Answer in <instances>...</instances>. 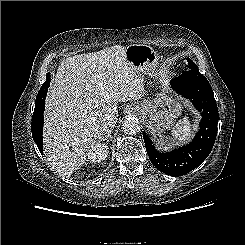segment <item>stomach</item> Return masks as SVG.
<instances>
[{"label": "stomach", "mask_w": 245, "mask_h": 245, "mask_svg": "<svg viewBox=\"0 0 245 245\" xmlns=\"http://www.w3.org/2000/svg\"><path fill=\"white\" fill-rule=\"evenodd\" d=\"M125 57L137 72L150 76L160 85L167 83L166 77L155 70L159 56L152 47L143 44L130 45L126 48ZM182 110L181 101L168 91L135 107L136 113L153 131L172 128L176 118L182 114Z\"/></svg>", "instance_id": "1"}]
</instances>
